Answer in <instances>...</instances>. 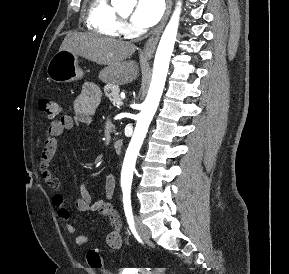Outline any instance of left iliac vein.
<instances>
[{
    "label": "left iliac vein",
    "instance_id": "left-iliac-vein-1",
    "mask_svg": "<svg viewBox=\"0 0 289 274\" xmlns=\"http://www.w3.org/2000/svg\"><path fill=\"white\" fill-rule=\"evenodd\" d=\"M135 228L139 236L144 240H149L151 236L150 229L141 222L139 217L135 216Z\"/></svg>",
    "mask_w": 289,
    "mask_h": 274
}]
</instances>
